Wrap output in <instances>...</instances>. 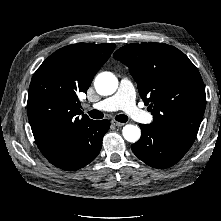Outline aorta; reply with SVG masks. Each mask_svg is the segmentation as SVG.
Listing matches in <instances>:
<instances>
[{
  "label": "aorta",
  "mask_w": 221,
  "mask_h": 221,
  "mask_svg": "<svg viewBox=\"0 0 221 221\" xmlns=\"http://www.w3.org/2000/svg\"><path fill=\"white\" fill-rule=\"evenodd\" d=\"M95 89L100 95H111L118 88V80L111 72H102L97 75L94 82ZM123 137L129 142H136L141 136V130L138 126L127 124L122 130Z\"/></svg>",
  "instance_id": "1"
}]
</instances>
